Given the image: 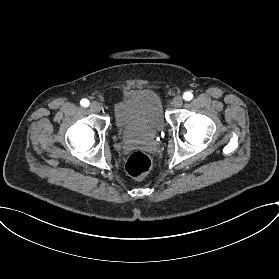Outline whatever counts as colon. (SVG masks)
<instances>
[{"mask_svg":"<svg viewBox=\"0 0 279 279\" xmlns=\"http://www.w3.org/2000/svg\"><path fill=\"white\" fill-rule=\"evenodd\" d=\"M151 168L150 158L143 152L132 153L126 162L125 169L132 177L144 176Z\"/></svg>","mask_w":279,"mask_h":279,"instance_id":"colon-1","label":"colon"}]
</instances>
